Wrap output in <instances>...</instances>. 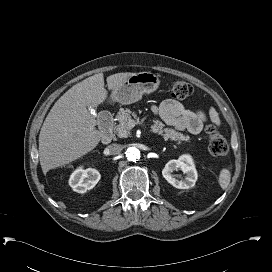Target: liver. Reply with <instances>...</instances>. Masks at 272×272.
I'll use <instances>...</instances> for the list:
<instances>
[{"label":"liver","mask_w":272,"mask_h":272,"mask_svg":"<svg viewBox=\"0 0 272 272\" xmlns=\"http://www.w3.org/2000/svg\"><path fill=\"white\" fill-rule=\"evenodd\" d=\"M136 73H116L107 77L113 90ZM107 98L103 73L72 86L53 105L39 134V160L42 171L69 164L93 150L102 134L88 107H97Z\"/></svg>","instance_id":"1"}]
</instances>
